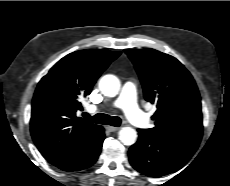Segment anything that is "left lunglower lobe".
I'll list each match as a JSON object with an SVG mask.
<instances>
[{
	"label": "left lung lower lobe",
	"mask_w": 230,
	"mask_h": 186,
	"mask_svg": "<svg viewBox=\"0 0 230 186\" xmlns=\"http://www.w3.org/2000/svg\"><path fill=\"white\" fill-rule=\"evenodd\" d=\"M139 139L129 149V161L139 172L160 177L181 169L199 144L182 142L138 129Z\"/></svg>",
	"instance_id": "1"
}]
</instances>
